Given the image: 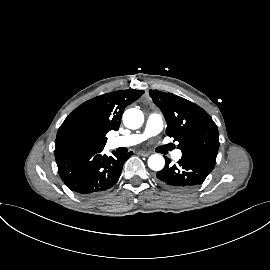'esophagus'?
Listing matches in <instances>:
<instances>
[{
	"instance_id": "1",
	"label": "esophagus",
	"mask_w": 270,
	"mask_h": 270,
	"mask_svg": "<svg viewBox=\"0 0 270 270\" xmlns=\"http://www.w3.org/2000/svg\"><path fill=\"white\" fill-rule=\"evenodd\" d=\"M139 154L142 155V156H144V157H148L150 155V152L140 151Z\"/></svg>"
}]
</instances>
